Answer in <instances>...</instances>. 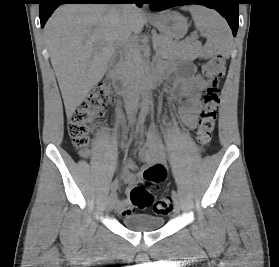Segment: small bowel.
Here are the masks:
<instances>
[{
	"mask_svg": "<svg viewBox=\"0 0 279 267\" xmlns=\"http://www.w3.org/2000/svg\"><path fill=\"white\" fill-rule=\"evenodd\" d=\"M165 71L176 72L173 94L180 102V113L183 124L187 128L192 129L196 126L201 109L199 93L206 88L208 83L197 74L196 67L191 63H185L179 70H176L172 65L166 68L158 66L155 69V73L160 76ZM141 157L149 166L162 168L166 178L164 150L155 126L150 127L147 141L141 150ZM122 177L128 186L127 193H129L140 178L137 167L132 161H128L125 164ZM134 208L135 206L131 203L130 198L120 199L116 204V210L121 215L132 214Z\"/></svg>",
	"mask_w": 279,
	"mask_h": 267,
	"instance_id": "small-bowel-1",
	"label": "small bowel"
}]
</instances>
